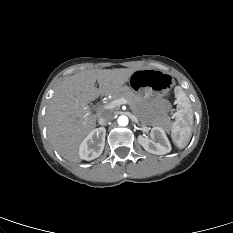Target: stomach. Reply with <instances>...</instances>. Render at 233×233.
Wrapping results in <instances>:
<instances>
[{
    "instance_id": "obj_1",
    "label": "stomach",
    "mask_w": 233,
    "mask_h": 233,
    "mask_svg": "<svg viewBox=\"0 0 233 233\" xmlns=\"http://www.w3.org/2000/svg\"><path fill=\"white\" fill-rule=\"evenodd\" d=\"M131 90L142 99H150L156 94L169 90L172 77L161 70L141 69L135 71L130 77Z\"/></svg>"
}]
</instances>
